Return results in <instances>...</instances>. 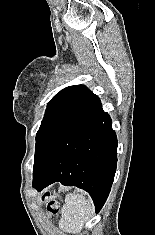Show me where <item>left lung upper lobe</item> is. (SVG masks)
Listing matches in <instances>:
<instances>
[{
    "label": "left lung upper lobe",
    "mask_w": 155,
    "mask_h": 235,
    "mask_svg": "<svg viewBox=\"0 0 155 235\" xmlns=\"http://www.w3.org/2000/svg\"><path fill=\"white\" fill-rule=\"evenodd\" d=\"M100 103L98 96L85 86H69L48 103L44 119L36 134L33 175L45 163L58 144Z\"/></svg>",
    "instance_id": "5c2ea615"
}]
</instances>
